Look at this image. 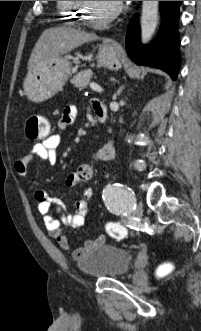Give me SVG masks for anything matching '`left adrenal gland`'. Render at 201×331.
Segmentation results:
<instances>
[{"label":"left adrenal gland","mask_w":201,"mask_h":331,"mask_svg":"<svg viewBox=\"0 0 201 331\" xmlns=\"http://www.w3.org/2000/svg\"><path fill=\"white\" fill-rule=\"evenodd\" d=\"M122 90H123V86L119 88V90H118L117 94H118V95H120V94H121V92H122Z\"/></svg>","instance_id":"obj_1"}]
</instances>
